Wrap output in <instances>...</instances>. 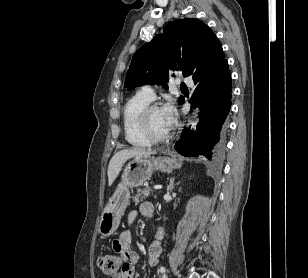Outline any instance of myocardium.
<instances>
[{"instance_id":"f54148a6","label":"myocardium","mask_w":308,"mask_h":278,"mask_svg":"<svg viewBox=\"0 0 308 278\" xmlns=\"http://www.w3.org/2000/svg\"><path fill=\"white\" fill-rule=\"evenodd\" d=\"M159 109L157 104H148L145 106L138 115V126L142 134L151 142V143H161L169 139L170 134L167 132L165 135H156L150 128L149 125V115L152 111Z\"/></svg>"}]
</instances>
